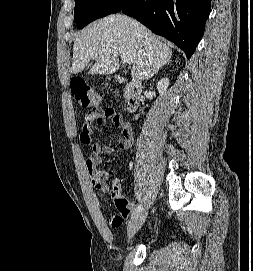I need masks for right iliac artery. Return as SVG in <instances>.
<instances>
[{
  "instance_id": "1",
  "label": "right iliac artery",
  "mask_w": 253,
  "mask_h": 271,
  "mask_svg": "<svg viewBox=\"0 0 253 271\" xmlns=\"http://www.w3.org/2000/svg\"><path fill=\"white\" fill-rule=\"evenodd\" d=\"M142 209V205L138 204L137 208L133 211L131 218L133 219Z\"/></svg>"
}]
</instances>
